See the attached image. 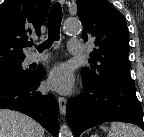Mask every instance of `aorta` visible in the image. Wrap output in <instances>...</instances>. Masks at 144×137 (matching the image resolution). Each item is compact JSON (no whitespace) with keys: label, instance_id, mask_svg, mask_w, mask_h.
Masks as SVG:
<instances>
[{"label":"aorta","instance_id":"1","mask_svg":"<svg viewBox=\"0 0 144 137\" xmlns=\"http://www.w3.org/2000/svg\"><path fill=\"white\" fill-rule=\"evenodd\" d=\"M63 29L67 33H76L81 29V23L76 19H67L63 24ZM59 137H73L71 129L63 124L59 128Z\"/></svg>","mask_w":144,"mask_h":137}]
</instances>
